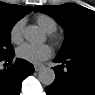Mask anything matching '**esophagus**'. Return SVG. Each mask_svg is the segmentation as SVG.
Returning <instances> with one entry per match:
<instances>
[{
  "instance_id": "obj_1",
  "label": "esophagus",
  "mask_w": 95,
  "mask_h": 95,
  "mask_svg": "<svg viewBox=\"0 0 95 95\" xmlns=\"http://www.w3.org/2000/svg\"><path fill=\"white\" fill-rule=\"evenodd\" d=\"M34 68H35V71L38 72L43 68V65H35Z\"/></svg>"
}]
</instances>
